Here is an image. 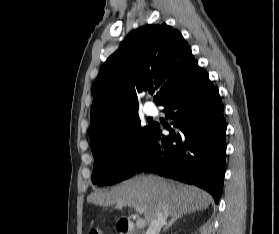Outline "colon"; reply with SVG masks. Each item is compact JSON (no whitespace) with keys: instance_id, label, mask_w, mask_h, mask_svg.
Wrapping results in <instances>:
<instances>
[{"instance_id":"colon-1","label":"colon","mask_w":279,"mask_h":234,"mask_svg":"<svg viewBox=\"0 0 279 234\" xmlns=\"http://www.w3.org/2000/svg\"><path fill=\"white\" fill-rule=\"evenodd\" d=\"M87 234H103L102 231L97 227H92L89 229Z\"/></svg>"}]
</instances>
